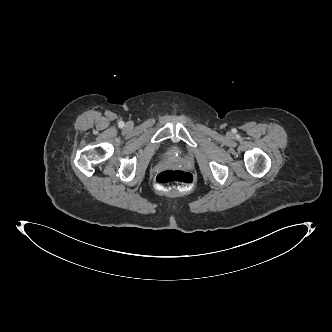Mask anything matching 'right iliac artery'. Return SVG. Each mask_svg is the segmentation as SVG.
<instances>
[{
	"label": "right iliac artery",
	"instance_id": "obj_1",
	"mask_svg": "<svg viewBox=\"0 0 332 332\" xmlns=\"http://www.w3.org/2000/svg\"><path fill=\"white\" fill-rule=\"evenodd\" d=\"M118 125H119V127H124V122L123 121H120L119 123H118Z\"/></svg>",
	"mask_w": 332,
	"mask_h": 332
}]
</instances>
